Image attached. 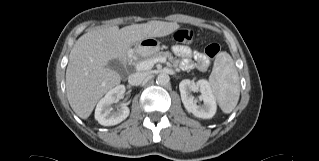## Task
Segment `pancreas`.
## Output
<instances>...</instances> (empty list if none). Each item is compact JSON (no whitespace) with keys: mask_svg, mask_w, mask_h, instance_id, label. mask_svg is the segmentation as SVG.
I'll return each mask as SVG.
<instances>
[{"mask_svg":"<svg viewBox=\"0 0 319 161\" xmlns=\"http://www.w3.org/2000/svg\"><path fill=\"white\" fill-rule=\"evenodd\" d=\"M158 57H163V58H166L168 59L170 62H173L174 61V57L172 55V53L166 51V52H157L151 56H149L148 60L149 59H153V58H158ZM133 64H138V62H133Z\"/></svg>","mask_w":319,"mask_h":161,"instance_id":"cf45deb5","label":"pancreas"}]
</instances>
